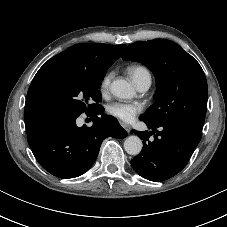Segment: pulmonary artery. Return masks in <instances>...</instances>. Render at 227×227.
I'll list each match as a JSON object with an SVG mask.
<instances>
[{
	"instance_id": "1",
	"label": "pulmonary artery",
	"mask_w": 227,
	"mask_h": 227,
	"mask_svg": "<svg viewBox=\"0 0 227 227\" xmlns=\"http://www.w3.org/2000/svg\"><path fill=\"white\" fill-rule=\"evenodd\" d=\"M150 85H151V79L146 78L137 84V88L139 91L145 92L149 89Z\"/></svg>"
}]
</instances>
